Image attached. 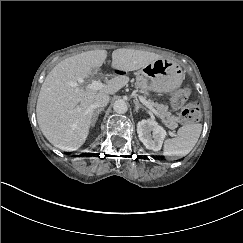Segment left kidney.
I'll return each mask as SVG.
<instances>
[{"mask_svg": "<svg viewBox=\"0 0 243 243\" xmlns=\"http://www.w3.org/2000/svg\"><path fill=\"white\" fill-rule=\"evenodd\" d=\"M137 133L139 140L145 145V147L153 151H159L161 149L166 137V131L164 128L152 119L138 122Z\"/></svg>", "mask_w": 243, "mask_h": 243, "instance_id": "1", "label": "left kidney"}]
</instances>
